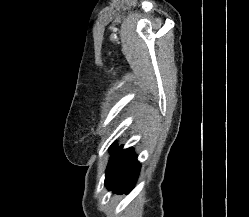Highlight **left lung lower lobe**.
<instances>
[{
  "label": "left lung lower lobe",
  "instance_id": "obj_1",
  "mask_svg": "<svg viewBox=\"0 0 249 217\" xmlns=\"http://www.w3.org/2000/svg\"><path fill=\"white\" fill-rule=\"evenodd\" d=\"M140 171V163L133 153V148L116 149L113 166L105 183L115 193H129L134 187Z\"/></svg>",
  "mask_w": 249,
  "mask_h": 217
}]
</instances>
